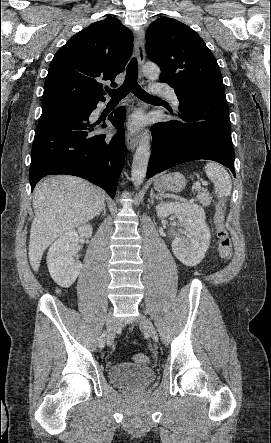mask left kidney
Listing matches in <instances>:
<instances>
[{
	"label": "left kidney",
	"mask_w": 271,
	"mask_h": 443,
	"mask_svg": "<svg viewBox=\"0 0 271 443\" xmlns=\"http://www.w3.org/2000/svg\"><path fill=\"white\" fill-rule=\"evenodd\" d=\"M158 218H167L175 214L183 223L187 233L182 237H174L171 245L174 255L185 265H197L202 261L210 245V229L205 222V212L198 204H158Z\"/></svg>",
	"instance_id": "5707ae66"
}]
</instances>
